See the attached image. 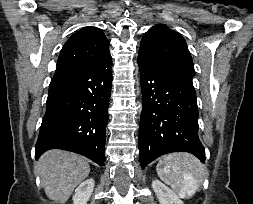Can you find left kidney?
Here are the masks:
<instances>
[{
  "label": "left kidney",
  "instance_id": "5707ae66",
  "mask_svg": "<svg viewBox=\"0 0 253 204\" xmlns=\"http://www.w3.org/2000/svg\"><path fill=\"white\" fill-rule=\"evenodd\" d=\"M152 187L160 204H184L180 197L161 181L154 180Z\"/></svg>",
  "mask_w": 253,
  "mask_h": 204
}]
</instances>
